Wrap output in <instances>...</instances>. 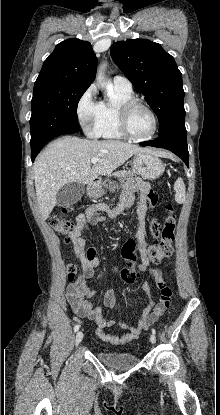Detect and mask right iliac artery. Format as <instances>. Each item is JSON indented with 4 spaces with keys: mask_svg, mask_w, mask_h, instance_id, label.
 Returning a JSON list of instances; mask_svg holds the SVG:
<instances>
[{
    "mask_svg": "<svg viewBox=\"0 0 220 415\" xmlns=\"http://www.w3.org/2000/svg\"><path fill=\"white\" fill-rule=\"evenodd\" d=\"M79 328H80V325H79V324H76V325L74 326V332H77V331L79 330Z\"/></svg>",
    "mask_w": 220,
    "mask_h": 415,
    "instance_id": "82829eb1",
    "label": "right iliac artery"
}]
</instances>
